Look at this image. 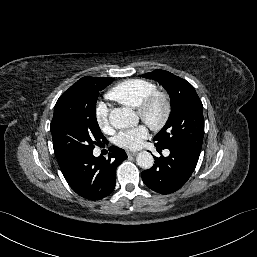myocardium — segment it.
Wrapping results in <instances>:
<instances>
[{
  "label": "myocardium",
  "mask_w": 257,
  "mask_h": 257,
  "mask_svg": "<svg viewBox=\"0 0 257 257\" xmlns=\"http://www.w3.org/2000/svg\"><path fill=\"white\" fill-rule=\"evenodd\" d=\"M162 107V115L157 120H151L150 112L156 106ZM138 115L146 122L153 130H160L168 123L172 112V102L170 96L163 91H154L148 95L137 108Z\"/></svg>",
  "instance_id": "f54148a6"
}]
</instances>
